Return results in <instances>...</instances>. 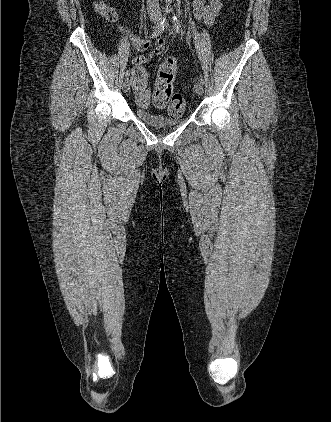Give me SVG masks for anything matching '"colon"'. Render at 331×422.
Masks as SVG:
<instances>
[{
    "instance_id": "obj_1",
    "label": "colon",
    "mask_w": 331,
    "mask_h": 422,
    "mask_svg": "<svg viewBox=\"0 0 331 422\" xmlns=\"http://www.w3.org/2000/svg\"><path fill=\"white\" fill-rule=\"evenodd\" d=\"M96 8L106 20L114 21L117 18L116 11L110 7L105 0H97ZM177 69L178 65L175 58L169 57L164 60L159 66L156 87L153 93V104L158 108H163L168 105V113L171 116H179L183 114L186 109L184 98L179 94H173V81ZM132 77L144 80L147 79V72L141 67H135L132 72ZM140 98L143 104L149 101V97L145 94H142Z\"/></svg>"
}]
</instances>
